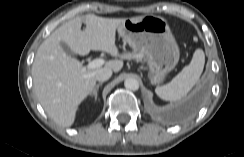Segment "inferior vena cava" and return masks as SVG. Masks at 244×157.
<instances>
[{"instance_id": "1", "label": "inferior vena cava", "mask_w": 244, "mask_h": 157, "mask_svg": "<svg viewBox=\"0 0 244 157\" xmlns=\"http://www.w3.org/2000/svg\"><path fill=\"white\" fill-rule=\"evenodd\" d=\"M112 76V70L109 68H101L96 74V80L104 82Z\"/></svg>"}]
</instances>
